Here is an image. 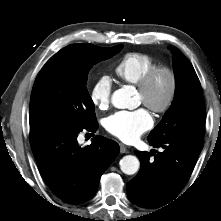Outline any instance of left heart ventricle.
Segmentation results:
<instances>
[{"instance_id": "b2bd125f", "label": "left heart ventricle", "mask_w": 221, "mask_h": 221, "mask_svg": "<svg viewBox=\"0 0 221 221\" xmlns=\"http://www.w3.org/2000/svg\"><path fill=\"white\" fill-rule=\"evenodd\" d=\"M168 85V77L165 74L159 75L149 91L148 99L155 105L161 104L166 98ZM138 96L140 101H142V97L139 93Z\"/></svg>"}]
</instances>
